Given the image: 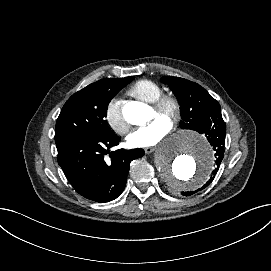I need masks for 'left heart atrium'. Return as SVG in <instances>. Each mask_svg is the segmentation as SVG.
Wrapping results in <instances>:
<instances>
[{
  "label": "left heart atrium",
  "mask_w": 271,
  "mask_h": 271,
  "mask_svg": "<svg viewBox=\"0 0 271 271\" xmlns=\"http://www.w3.org/2000/svg\"><path fill=\"white\" fill-rule=\"evenodd\" d=\"M170 132V123L162 118H157L146 126L133 129L128 134L127 141L133 147L147 148L161 142Z\"/></svg>",
  "instance_id": "39dd6f15"
}]
</instances>
